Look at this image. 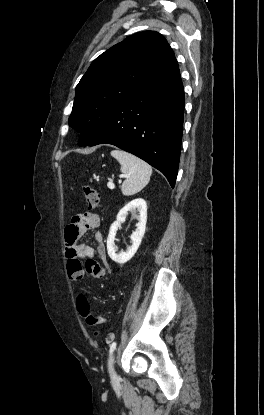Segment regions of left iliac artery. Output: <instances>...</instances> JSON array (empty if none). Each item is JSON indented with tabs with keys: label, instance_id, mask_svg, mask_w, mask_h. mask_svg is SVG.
<instances>
[{
	"label": "left iliac artery",
	"instance_id": "obj_1",
	"mask_svg": "<svg viewBox=\"0 0 264 415\" xmlns=\"http://www.w3.org/2000/svg\"><path fill=\"white\" fill-rule=\"evenodd\" d=\"M115 348H116V342H113V343L110 345V350H109L110 355H111V353L115 350Z\"/></svg>",
	"mask_w": 264,
	"mask_h": 415
}]
</instances>
